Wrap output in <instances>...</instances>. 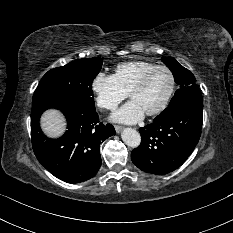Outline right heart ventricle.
Here are the masks:
<instances>
[{"label": "right heart ventricle", "mask_w": 233, "mask_h": 233, "mask_svg": "<svg viewBox=\"0 0 233 233\" xmlns=\"http://www.w3.org/2000/svg\"><path fill=\"white\" fill-rule=\"evenodd\" d=\"M157 65L148 61L135 60L118 64L114 69V78L119 86L129 93L140 78Z\"/></svg>", "instance_id": "obj_1"}]
</instances>
